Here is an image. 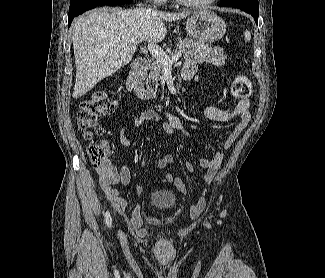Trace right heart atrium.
<instances>
[{"label":"right heart atrium","instance_id":"1","mask_svg":"<svg viewBox=\"0 0 325 278\" xmlns=\"http://www.w3.org/2000/svg\"><path fill=\"white\" fill-rule=\"evenodd\" d=\"M153 1H155V2H157V3H162V2H164V1H166V0H153Z\"/></svg>","mask_w":325,"mask_h":278}]
</instances>
